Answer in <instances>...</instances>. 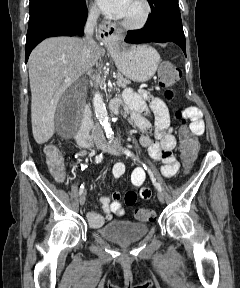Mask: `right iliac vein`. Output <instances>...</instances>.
<instances>
[{"instance_id": "63e3f726", "label": "right iliac vein", "mask_w": 240, "mask_h": 288, "mask_svg": "<svg viewBox=\"0 0 240 288\" xmlns=\"http://www.w3.org/2000/svg\"><path fill=\"white\" fill-rule=\"evenodd\" d=\"M98 149H104V145L97 146ZM80 205H84L85 203V194H82L79 199Z\"/></svg>"}]
</instances>
